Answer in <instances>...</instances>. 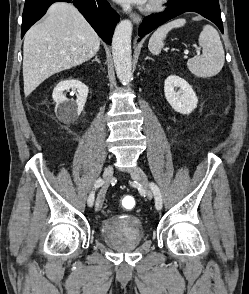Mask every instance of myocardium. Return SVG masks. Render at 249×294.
Here are the masks:
<instances>
[{
    "label": "myocardium",
    "mask_w": 249,
    "mask_h": 294,
    "mask_svg": "<svg viewBox=\"0 0 249 294\" xmlns=\"http://www.w3.org/2000/svg\"><path fill=\"white\" fill-rule=\"evenodd\" d=\"M168 0H149L145 6L146 11H156L162 8Z\"/></svg>",
    "instance_id": "obj_1"
}]
</instances>
